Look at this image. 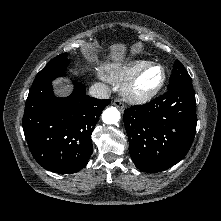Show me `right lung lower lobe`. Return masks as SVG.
Here are the masks:
<instances>
[{
    "label": "right lung lower lobe",
    "mask_w": 221,
    "mask_h": 221,
    "mask_svg": "<svg viewBox=\"0 0 221 221\" xmlns=\"http://www.w3.org/2000/svg\"><path fill=\"white\" fill-rule=\"evenodd\" d=\"M56 74L31 87L25 105L23 130L35 160L46 170L70 174L86 166L93 152L91 134L109 99L86 95L85 86L74 83L65 98L53 94Z\"/></svg>",
    "instance_id": "right-lung-lower-lobe-1"
}]
</instances>
